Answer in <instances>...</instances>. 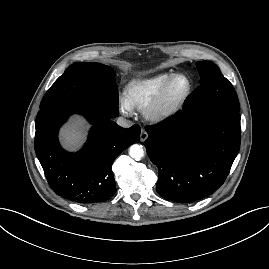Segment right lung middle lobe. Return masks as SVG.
I'll return each mask as SVG.
<instances>
[{
	"instance_id": "right-lung-middle-lobe-1",
	"label": "right lung middle lobe",
	"mask_w": 269,
	"mask_h": 269,
	"mask_svg": "<svg viewBox=\"0 0 269 269\" xmlns=\"http://www.w3.org/2000/svg\"><path fill=\"white\" fill-rule=\"evenodd\" d=\"M112 68L99 63H74L43 97L40 108L59 101H72L118 115V88Z\"/></svg>"
}]
</instances>
